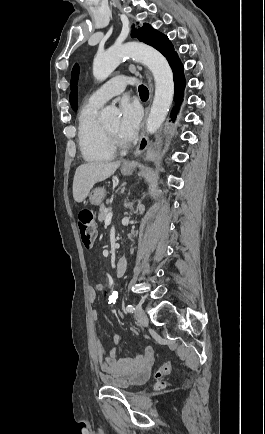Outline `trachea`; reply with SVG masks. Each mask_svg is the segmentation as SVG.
Instances as JSON below:
<instances>
[{
    "label": "trachea",
    "instance_id": "obj_1",
    "mask_svg": "<svg viewBox=\"0 0 265 434\" xmlns=\"http://www.w3.org/2000/svg\"><path fill=\"white\" fill-rule=\"evenodd\" d=\"M139 93H140V96H145V95L149 94V91L144 85H140L139 86Z\"/></svg>",
    "mask_w": 265,
    "mask_h": 434
}]
</instances>
